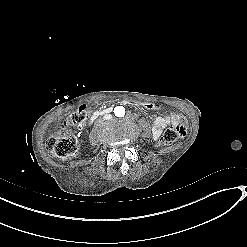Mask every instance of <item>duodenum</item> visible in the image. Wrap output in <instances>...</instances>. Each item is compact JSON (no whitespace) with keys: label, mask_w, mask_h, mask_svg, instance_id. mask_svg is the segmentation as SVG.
Returning a JSON list of instances; mask_svg holds the SVG:
<instances>
[{"label":"duodenum","mask_w":247,"mask_h":247,"mask_svg":"<svg viewBox=\"0 0 247 247\" xmlns=\"http://www.w3.org/2000/svg\"><path fill=\"white\" fill-rule=\"evenodd\" d=\"M112 111V108H105V109H101V110H97L95 112L92 113L90 119H89V123H93L97 118H99L100 116H103L105 114H108Z\"/></svg>","instance_id":"410a0bca"}]
</instances>
